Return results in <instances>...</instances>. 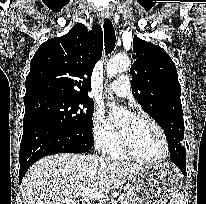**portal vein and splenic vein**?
Returning a JSON list of instances; mask_svg holds the SVG:
<instances>
[{"label": "portal vein and splenic vein", "mask_w": 206, "mask_h": 204, "mask_svg": "<svg viewBox=\"0 0 206 204\" xmlns=\"http://www.w3.org/2000/svg\"><path fill=\"white\" fill-rule=\"evenodd\" d=\"M75 195L77 196H86V197H90L93 199H103L104 198V194L101 192H96L92 189H86V188H81V189H77L74 192ZM119 199L122 200L124 199V193H121L119 196Z\"/></svg>", "instance_id": "1"}]
</instances>
